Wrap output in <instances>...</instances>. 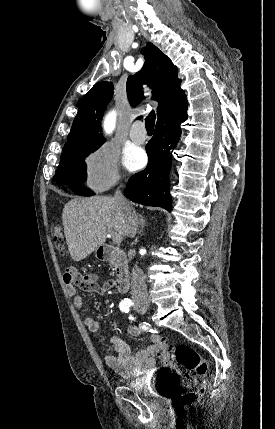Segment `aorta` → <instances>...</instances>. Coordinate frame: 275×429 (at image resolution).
I'll use <instances>...</instances> for the list:
<instances>
[{"label":"aorta","instance_id":"762f6f07","mask_svg":"<svg viewBox=\"0 0 275 429\" xmlns=\"http://www.w3.org/2000/svg\"><path fill=\"white\" fill-rule=\"evenodd\" d=\"M114 127V115L111 114L105 121V128L107 131H111Z\"/></svg>","mask_w":275,"mask_h":429}]
</instances>
